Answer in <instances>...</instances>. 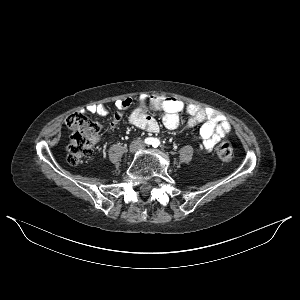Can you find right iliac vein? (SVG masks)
Segmentation results:
<instances>
[{
	"label": "right iliac vein",
	"instance_id": "1",
	"mask_svg": "<svg viewBox=\"0 0 300 300\" xmlns=\"http://www.w3.org/2000/svg\"><path fill=\"white\" fill-rule=\"evenodd\" d=\"M137 147H138V143L132 144L130 147V152H134L137 149Z\"/></svg>",
	"mask_w": 300,
	"mask_h": 300
}]
</instances>
